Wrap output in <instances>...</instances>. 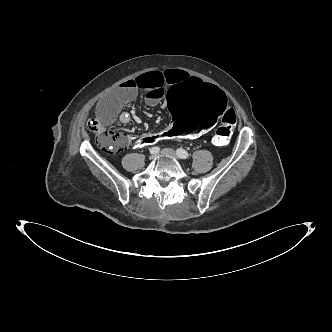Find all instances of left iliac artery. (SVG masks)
<instances>
[{
  "label": "left iliac artery",
  "mask_w": 332,
  "mask_h": 332,
  "mask_svg": "<svg viewBox=\"0 0 332 332\" xmlns=\"http://www.w3.org/2000/svg\"><path fill=\"white\" fill-rule=\"evenodd\" d=\"M176 154L181 159H187V158H189V153L186 150L182 149V148L177 149L176 150Z\"/></svg>",
  "instance_id": "1"
}]
</instances>
